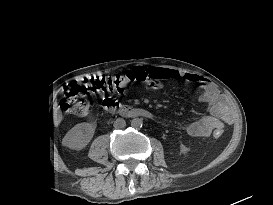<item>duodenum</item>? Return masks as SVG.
<instances>
[{"label": "duodenum", "instance_id": "1", "mask_svg": "<svg viewBox=\"0 0 273 205\" xmlns=\"http://www.w3.org/2000/svg\"><path fill=\"white\" fill-rule=\"evenodd\" d=\"M105 106L110 111L117 112V113H120L121 115L128 116V117L150 116V114L143 109H138V108L127 106V105H122L118 102H115L114 100H106Z\"/></svg>", "mask_w": 273, "mask_h": 205}]
</instances>
